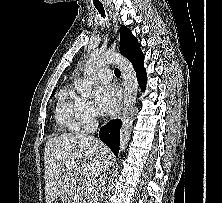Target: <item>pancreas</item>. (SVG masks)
I'll return each mask as SVG.
<instances>
[{
    "mask_svg": "<svg viewBox=\"0 0 222 203\" xmlns=\"http://www.w3.org/2000/svg\"><path fill=\"white\" fill-rule=\"evenodd\" d=\"M96 194L92 191L86 192L82 187L77 190V200L75 203H94Z\"/></svg>",
    "mask_w": 222,
    "mask_h": 203,
    "instance_id": "obj_1",
    "label": "pancreas"
}]
</instances>
